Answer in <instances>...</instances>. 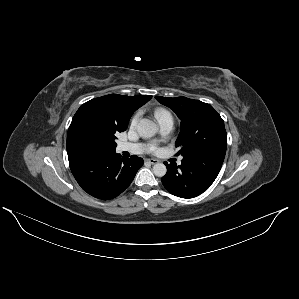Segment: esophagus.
<instances>
[{"label":"esophagus","instance_id":"1","mask_svg":"<svg viewBox=\"0 0 299 299\" xmlns=\"http://www.w3.org/2000/svg\"><path fill=\"white\" fill-rule=\"evenodd\" d=\"M145 162L150 163V164H156L159 161L157 159H149V158H147V159H145Z\"/></svg>","mask_w":299,"mask_h":299}]
</instances>
